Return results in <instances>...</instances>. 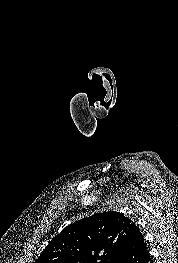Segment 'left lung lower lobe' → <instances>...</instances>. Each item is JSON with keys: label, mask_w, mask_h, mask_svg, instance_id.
<instances>
[{"label": "left lung lower lobe", "mask_w": 178, "mask_h": 263, "mask_svg": "<svg viewBox=\"0 0 178 263\" xmlns=\"http://www.w3.org/2000/svg\"><path fill=\"white\" fill-rule=\"evenodd\" d=\"M111 263H153L143 235L134 223Z\"/></svg>", "instance_id": "1"}]
</instances>
